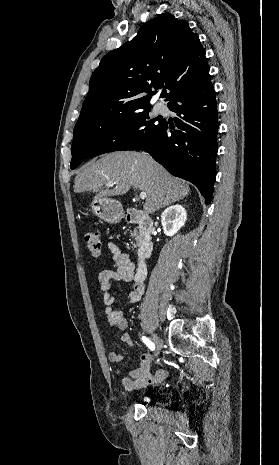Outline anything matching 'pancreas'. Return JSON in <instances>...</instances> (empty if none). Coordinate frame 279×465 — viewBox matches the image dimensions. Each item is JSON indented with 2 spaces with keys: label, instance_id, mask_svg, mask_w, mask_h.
<instances>
[{
  "label": "pancreas",
  "instance_id": "obj_1",
  "mask_svg": "<svg viewBox=\"0 0 279 465\" xmlns=\"http://www.w3.org/2000/svg\"><path fill=\"white\" fill-rule=\"evenodd\" d=\"M132 236L135 237V242H131L132 248H136L137 244H138V241H139V236H138L136 230H134V233L132 234Z\"/></svg>",
  "mask_w": 279,
  "mask_h": 465
}]
</instances>
